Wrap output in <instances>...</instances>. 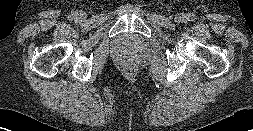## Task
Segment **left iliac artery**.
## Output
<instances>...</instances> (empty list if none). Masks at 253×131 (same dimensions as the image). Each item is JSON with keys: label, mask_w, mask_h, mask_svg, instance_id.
<instances>
[{"label": "left iliac artery", "mask_w": 253, "mask_h": 131, "mask_svg": "<svg viewBox=\"0 0 253 131\" xmlns=\"http://www.w3.org/2000/svg\"><path fill=\"white\" fill-rule=\"evenodd\" d=\"M187 19L189 21H193V20H195V15L194 14H189L188 17H187Z\"/></svg>", "instance_id": "1"}]
</instances>
